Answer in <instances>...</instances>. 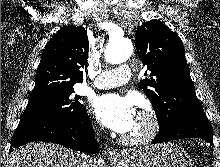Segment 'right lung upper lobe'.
<instances>
[{"label": "right lung upper lobe", "mask_w": 220, "mask_h": 167, "mask_svg": "<svg viewBox=\"0 0 220 167\" xmlns=\"http://www.w3.org/2000/svg\"><path fill=\"white\" fill-rule=\"evenodd\" d=\"M88 37L84 27L61 28L46 44L31 98L54 94L83 82L87 67Z\"/></svg>", "instance_id": "1"}]
</instances>
